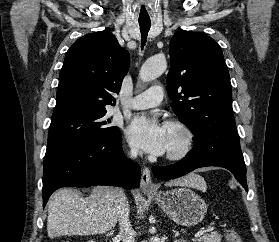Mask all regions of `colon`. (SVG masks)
I'll list each match as a JSON object with an SVG mask.
<instances>
[{
  "mask_svg": "<svg viewBox=\"0 0 279 242\" xmlns=\"http://www.w3.org/2000/svg\"><path fill=\"white\" fill-rule=\"evenodd\" d=\"M225 237L227 242H244L239 234L232 228L226 229Z\"/></svg>",
  "mask_w": 279,
  "mask_h": 242,
  "instance_id": "1",
  "label": "colon"
}]
</instances>
